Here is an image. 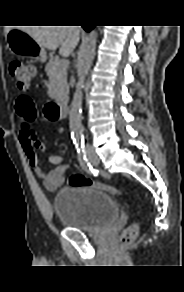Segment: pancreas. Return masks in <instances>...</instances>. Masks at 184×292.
<instances>
[{
    "label": "pancreas",
    "instance_id": "cf45deb5",
    "mask_svg": "<svg viewBox=\"0 0 184 292\" xmlns=\"http://www.w3.org/2000/svg\"><path fill=\"white\" fill-rule=\"evenodd\" d=\"M45 70L49 77V96L55 99L66 97L69 91L67 84V67L63 66L61 60L50 56Z\"/></svg>",
    "mask_w": 184,
    "mask_h": 292
}]
</instances>
